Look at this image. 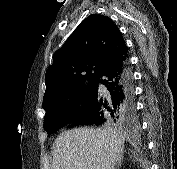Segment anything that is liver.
<instances>
[{
	"instance_id": "liver-1",
	"label": "liver",
	"mask_w": 177,
	"mask_h": 169,
	"mask_svg": "<svg viewBox=\"0 0 177 169\" xmlns=\"http://www.w3.org/2000/svg\"><path fill=\"white\" fill-rule=\"evenodd\" d=\"M124 142L125 136L111 127L63 132L53 144L51 169H114Z\"/></svg>"
}]
</instances>
